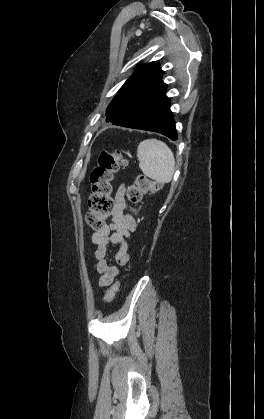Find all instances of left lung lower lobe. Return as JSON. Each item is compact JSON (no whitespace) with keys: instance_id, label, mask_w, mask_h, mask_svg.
Wrapping results in <instances>:
<instances>
[{"instance_id":"obj_1","label":"left lung lower lobe","mask_w":264,"mask_h":419,"mask_svg":"<svg viewBox=\"0 0 264 419\" xmlns=\"http://www.w3.org/2000/svg\"><path fill=\"white\" fill-rule=\"evenodd\" d=\"M166 88L163 82L149 86L124 113L107 117L106 121L122 127L161 133L177 140L170 101L165 95Z\"/></svg>"}]
</instances>
